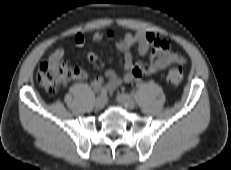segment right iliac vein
<instances>
[{
	"label": "right iliac vein",
	"instance_id": "right-iliac-vein-1",
	"mask_svg": "<svg viewBox=\"0 0 231 170\" xmlns=\"http://www.w3.org/2000/svg\"><path fill=\"white\" fill-rule=\"evenodd\" d=\"M105 105V100L101 97L96 98L94 106L96 109H102Z\"/></svg>",
	"mask_w": 231,
	"mask_h": 170
}]
</instances>
